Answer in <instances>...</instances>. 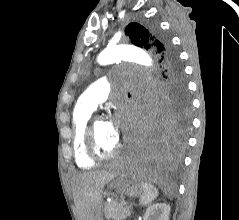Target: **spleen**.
<instances>
[{
  "mask_svg": "<svg viewBox=\"0 0 239 220\" xmlns=\"http://www.w3.org/2000/svg\"><path fill=\"white\" fill-rule=\"evenodd\" d=\"M139 184L143 191L140 197V205H148L158 196V190L154 185L144 181Z\"/></svg>",
  "mask_w": 239,
  "mask_h": 220,
  "instance_id": "3e777b00",
  "label": "spleen"
}]
</instances>
